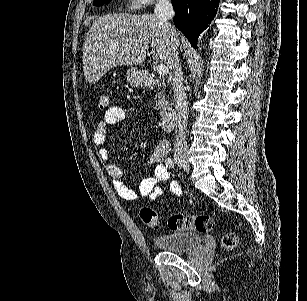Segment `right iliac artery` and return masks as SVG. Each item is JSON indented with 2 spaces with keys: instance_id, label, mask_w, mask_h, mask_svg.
<instances>
[{
  "instance_id": "1",
  "label": "right iliac artery",
  "mask_w": 307,
  "mask_h": 301,
  "mask_svg": "<svg viewBox=\"0 0 307 301\" xmlns=\"http://www.w3.org/2000/svg\"><path fill=\"white\" fill-rule=\"evenodd\" d=\"M166 166L169 168H173L174 167V161L171 158H168L166 160Z\"/></svg>"
}]
</instances>
